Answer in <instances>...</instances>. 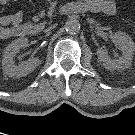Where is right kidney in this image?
I'll return each mask as SVG.
<instances>
[{
    "mask_svg": "<svg viewBox=\"0 0 135 135\" xmlns=\"http://www.w3.org/2000/svg\"><path fill=\"white\" fill-rule=\"evenodd\" d=\"M28 46V39L21 37L12 41L3 51L2 66L4 73L9 77L26 76L36 69L40 64L38 57L30 58L18 65L14 62V57L21 48Z\"/></svg>",
    "mask_w": 135,
    "mask_h": 135,
    "instance_id": "1",
    "label": "right kidney"
}]
</instances>
